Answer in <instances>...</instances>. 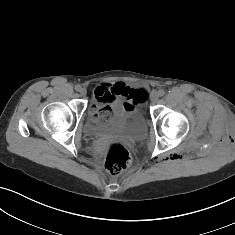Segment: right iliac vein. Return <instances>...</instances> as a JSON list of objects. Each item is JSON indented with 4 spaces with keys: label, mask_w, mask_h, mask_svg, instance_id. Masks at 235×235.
<instances>
[{
    "label": "right iliac vein",
    "mask_w": 235,
    "mask_h": 235,
    "mask_svg": "<svg viewBox=\"0 0 235 235\" xmlns=\"http://www.w3.org/2000/svg\"><path fill=\"white\" fill-rule=\"evenodd\" d=\"M79 92H80V94H81L82 96H85L86 93H87V91H86L85 88H81Z\"/></svg>",
    "instance_id": "1"
}]
</instances>
